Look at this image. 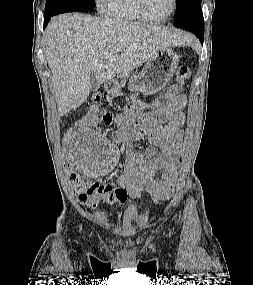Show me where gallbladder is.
Listing matches in <instances>:
<instances>
[{"label":"gallbladder","mask_w":253,"mask_h":285,"mask_svg":"<svg viewBox=\"0 0 253 285\" xmlns=\"http://www.w3.org/2000/svg\"><path fill=\"white\" fill-rule=\"evenodd\" d=\"M90 84H91V91H93V92L97 91L98 82H97L96 76L93 72L90 74Z\"/></svg>","instance_id":"1"}]
</instances>
